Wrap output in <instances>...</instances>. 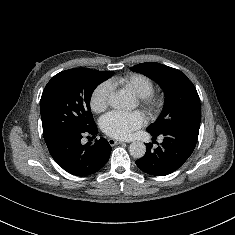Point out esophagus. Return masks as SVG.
<instances>
[{
	"mask_svg": "<svg viewBox=\"0 0 235 235\" xmlns=\"http://www.w3.org/2000/svg\"><path fill=\"white\" fill-rule=\"evenodd\" d=\"M108 142H109V144H110L111 146H115V145H117V144H121L123 141L110 138V139H108Z\"/></svg>",
	"mask_w": 235,
	"mask_h": 235,
	"instance_id": "1",
	"label": "esophagus"
}]
</instances>
